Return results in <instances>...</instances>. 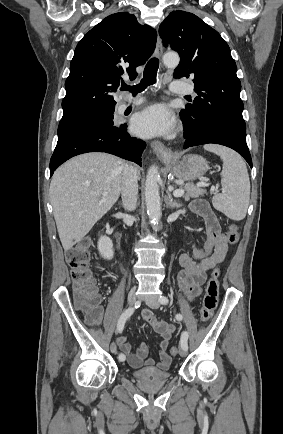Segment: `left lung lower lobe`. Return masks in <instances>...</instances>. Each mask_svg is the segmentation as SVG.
Instances as JSON below:
<instances>
[{
  "instance_id": "left-lung-lower-lobe-1",
  "label": "left lung lower lobe",
  "mask_w": 283,
  "mask_h": 434,
  "mask_svg": "<svg viewBox=\"0 0 283 434\" xmlns=\"http://www.w3.org/2000/svg\"><path fill=\"white\" fill-rule=\"evenodd\" d=\"M184 149L202 144H220L237 151L252 168L251 155L246 143V132L231 125L217 124L192 135L184 132Z\"/></svg>"
}]
</instances>
